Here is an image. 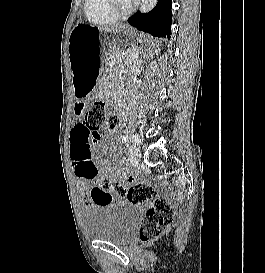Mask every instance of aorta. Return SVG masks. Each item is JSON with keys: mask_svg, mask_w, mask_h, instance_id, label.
I'll return each instance as SVG.
<instances>
[{"mask_svg": "<svg viewBox=\"0 0 265 273\" xmlns=\"http://www.w3.org/2000/svg\"><path fill=\"white\" fill-rule=\"evenodd\" d=\"M158 0H142L140 11L142 13H148L150 12L156 5Z\"/></svg>", "mask_w": 265, "mask_h": 273, "instance_id": "aorta-1", "label": "aorta"}]
</instances>
